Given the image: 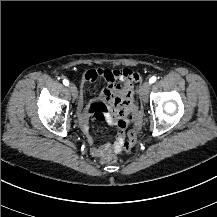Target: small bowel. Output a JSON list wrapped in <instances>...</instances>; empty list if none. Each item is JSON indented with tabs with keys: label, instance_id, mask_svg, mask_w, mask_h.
<instances>
[{
	"label": "small bowel",
	"instance_id": "1",
	"mask_svg": "<svg viewBox=\"0 0 217 217\" xmlns=\"http://www.w3.org/2000/svg\"><path fill=\"white\" fill-rule=\"evenodd\" d=\"M140 79L138 73L129 68L112 71L109 67L103 69L92 68L83 76L86 84L95 80L106 82L100 93L85 105L83 85L80 87L77 122L90 146L93 157H104L113 152L117 153V145L125 142V131L129 120L139 118L142 110L139 104L140 89L136 86ZM97 119L108 123L116 130L114 145L95 142L89 130V120Z\"/></svg>",
	"mask_w": 217,
	"mask_h": 217
}]
</instances>
